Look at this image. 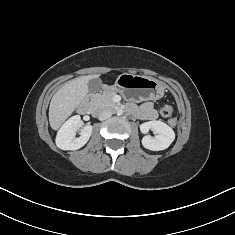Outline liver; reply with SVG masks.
<instances>
[{
    "instance_id": "1",
    "label": "liver",
    "mask_w": 235,
    "mask_h": 235,
    "mask_svg": "<svg viewBox=\"0 0 235 235\" xmlns=\"http://www.w3.org/2000/svg\"><path fill=\"white\" fill-rule=\"evenodd\" d=\"M98 77L99 75H87L74 78L53 95L49 106V123L53 130H58L80 105L89 92L88 82Z\"/></svg>"
}]
</instances>
